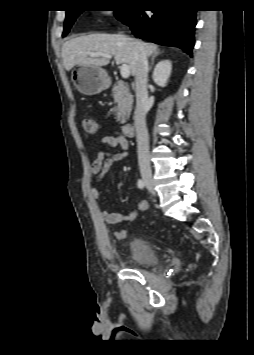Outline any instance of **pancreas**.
Listing matches in <instances>:
<instances>
[{"label":"pancreas","mask_w":254,"mask_h":355,"mask_svg":"<svg viewBox=\"0 0 254 355\" xmlns=\"http://www.w3.org/2000/svg\"><path fill=\"white\" fill-rule=\"evenodd\" d=\"M113 98L117 104L114 110L116 111V120L124 124L130 116L133 104V96L129 92L128 87L123 81H117L113 86Z\"/></svg>","instance_id":"obj_1"}]
</instances>
